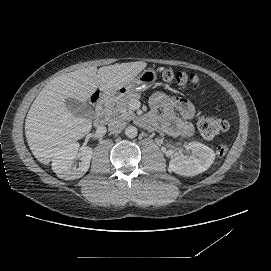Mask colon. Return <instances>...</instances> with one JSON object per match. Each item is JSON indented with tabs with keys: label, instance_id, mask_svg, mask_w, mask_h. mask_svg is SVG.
Here are the masks:
<instances>
[{
	"label": "colon",
	"instance_id": "obj_1",
	"mask_svg": "<svg viewBox=\"0 0 271 271\" xmlns=\"http://www.w3.org/2000/svg\"><path fill=\"white\" fill-rule=\"evenodd\" d=\"M164 80L167 83L175 84L179 87H185L188 84L196 83L197 77L193 74L185 72H174L168 70L164 73ZM229 125L228 122L220 117L207 116L201 117L197 120V128L204 138L211 139L216 135L226 131ZM228 152V146L221 144L216 149V154L219 157H224Z\"/></svg>",
	"mask_w": 271,
	"mask_h": 271
}]
</instances>
